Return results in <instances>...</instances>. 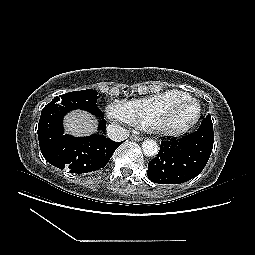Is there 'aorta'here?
I'll list each match as a JSON object with an SVG mask.
<instances>
[{
  "label": "aorta",
  "instance_id": "obj_1",
  "mask_svg": "<svg viewBox=\"0 0 255 255\" xmlns=\"http://www.w3.org/2000/svg\"><path fill=\"white\" fill-rule=\"evenodd\" d=\"M143 153L148 157H153L158 154L159 146L154 140H145L142 143Z\"/></svg>",
  "mask_w": 255,
  "mask_h": 255
}]
</instances>
